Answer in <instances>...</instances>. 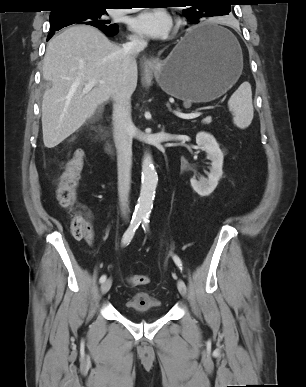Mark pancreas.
<instances>
[{
    "label": "pancreas",
    "instance_id": "cf45deb5",
    "mask_svg": "<svg viewBox=\"0 0 306 387\" xmlns=\"http://www.w3.org/2000/svg\"><path fill=\"white\" fill-rule=\"evenodd\" d=\"M210 122H211V118H205L203 120V123H205V124H209Z\"/></svg>",
    "mask_w": 306,
    "mask_h": 387
}]
</instances>
